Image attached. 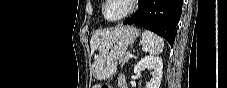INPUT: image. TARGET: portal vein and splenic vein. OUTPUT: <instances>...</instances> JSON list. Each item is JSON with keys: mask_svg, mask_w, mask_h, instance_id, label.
Instances as JSON below:
<instances>
[{"mask_svg": "<svg viewBox=\"0 0 227 88\" xmlns=\"http://www.w3.org/2000/svg\"><path fill=\"white\" fill-rule=\"evenodd\" d=\"M127 55H128L129 57H132V54H131V53H128Z\"/></svg>", "mask_w": 227, "mask_h": 88, "instance_id": "obj_1", "label": "portal vein and splenic vein"}]
</instances>
